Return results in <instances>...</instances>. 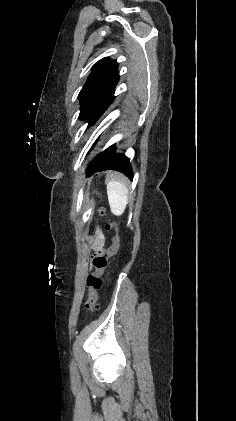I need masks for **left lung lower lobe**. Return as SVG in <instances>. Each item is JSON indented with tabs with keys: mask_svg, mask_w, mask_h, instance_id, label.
Wrapping results in <instances>:
<instances>
[{
	"mask_svg": "<svg viewBox=\"0 0 236 421\" xmlns=\"http://www.w3.org/2000/svg\"><path fill=\"white\" fill-rule=\"evenodd\" d=\"M115 149V145H112L98 154L86 169L87 176L90 177L96 172L110 169L119 171L132 180L133 173L129 159L123 154H116Z\"/></svg>",
	"mask_w": 236,
	"mask_h": 421,
	"instance_id": "0a47b994",
	"label": "left lung lower lobe"
}]
</instances>
